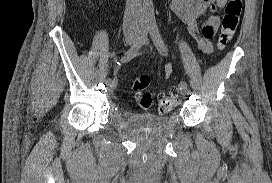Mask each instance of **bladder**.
<instances>
[{
    "label": "bladder",
    "mask_w": 272,
    "mask_h": 183,
    "mask_svg": "<svg viewBox=\"0 0 272 183\" xmlns=\"http://www.w3.org/2000/svg\"><path fill=\"white\" fill-rule=\"evenodd\" d=\"M124 119L129 128L146 133H159L170 124L168 116H156L150 113L126 111Z\"/></svg>",
    "instance_id": "1"
}]
</instances>
